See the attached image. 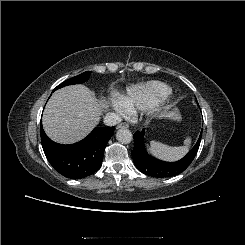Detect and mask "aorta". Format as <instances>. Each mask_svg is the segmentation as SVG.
<instances>
[{
	"label": "aorta",
	"instance_id": "obj_1",
	"mask_svg": "<svg viewBox=\"0 0 245 245\" xmlns=\"http://www.w3.org/2000/svg\"><path fill=\"white\" fill-rule=\"evenodd\" d=\"M116 139L122 144H129L133 139V135L129 129L123 128L117 131Z\"/></svg>",
	"mask_w": 245,
	"mask_h": 245
}]
</instances>
